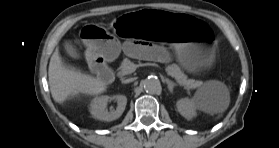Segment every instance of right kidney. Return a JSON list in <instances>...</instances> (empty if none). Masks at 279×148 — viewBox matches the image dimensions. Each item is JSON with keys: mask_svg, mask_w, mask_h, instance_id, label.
Wrapping results in <instances>:
<instances>
[{"mask_svg": "<svg viewBox=\"0 0 279 148\" xmlns=\"http://www.w3.org/2000/svg\"><path fill=\"white\" fill-rule=\"evenodd\" d=\"M111 100L117 102V108L115 110L108 111L107 105ZM127 104V98L124 95L115 96H101L93 99L90 104V112L96 119L103 121H113L118 119L125 110Z\"/></svg>", "mask_w": 279, "mask_h": 148, "instance_id": "right-kidney-1", "label": "right kidney"}]
</instances>
